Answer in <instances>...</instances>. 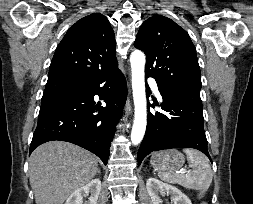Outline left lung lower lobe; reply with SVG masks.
<instances>
[{
  "mask_svg": "<svg viewBox=\"0 0 253 204\" xmlns=\"http://www.w3.org/2000/svg\"><path fill=\"white\" fill-rule=\"evenodd\" d=\"M161 109L166 113L148 112L147 129L138 150V164L152 151L171 148H194L209 159L200 95L167 92ZM157 105V103H155ZM154 107V105H151Z\"/></svg>",
  "mask_w": 253,
  "mask_h": 204,
  "instance_id": "left-lung-lower-lobe-1",
  "label": "left lung lower lobe"
}]
</instances>
